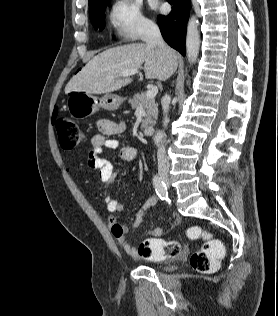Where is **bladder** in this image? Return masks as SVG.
Returning <instances> with one entry per match:
<instances>
[{
    "label": "bladder",
    "mask_w": 278,
    "mask_h": 316,
    "mask_svg": "<svg viewBox=\"0 0 278 316\" xmlns=\"http://www.w3.org/2000/svg\"><path fill=\"white\" fill-rule=\"evenodd\" d=\"M152 268H157V269H161V270H170L171 266L170 265H155V264H150L149 265Z\"/></svg>",
    "instance_id": "31cf9c89"
}]
</instances>
